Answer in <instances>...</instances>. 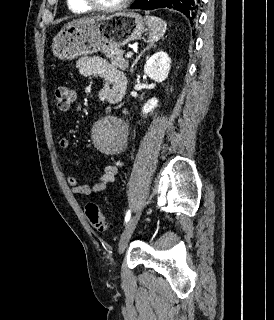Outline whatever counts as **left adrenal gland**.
<instances>
[{
  "label": "left adrenal gland",
  "mask_w": 274,
  "mask_h": 320,
  "mask_svg": "<svg viewBox=\"0 0 274 320\" xmlns=\"http://www.w3.org/2000/svg\"><path fill=\"white\" fill-rule=\"evenodd\" d=\"M153 46H154V48H156L154 42H152V44H150V46H147V48H144L143 52H141V54H139L138 58H136L135 62H133L130 72H133L134 66H135V64H137L138 60H140L142 54H144V52H146V50H150V48H153Z\"/></svg>",
  "instance_id": "1"
}]
</instances>
